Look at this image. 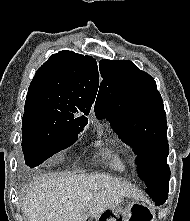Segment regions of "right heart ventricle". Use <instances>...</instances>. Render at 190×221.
Here are the masks:
<instances>
[{
  "instance_id": "right-heart-ventricle-1",
  "label": "right heart ventricle",
  "mask_w": 190,
  "mask_h": 221,
  "mask_svg": "<svg viewBox=\"0 0 190 221\" xmlns=\"http://www.w3.org/2000/svg\"><path fill=\"white\" fill-rule=\"evenodd\" d=\"M105 156L108 160L109 165L113 169H115L117 171H124L126 169L124 159L118 152H116L112 149H107L105 151Z\"/></svg>"
}]
</instances>
